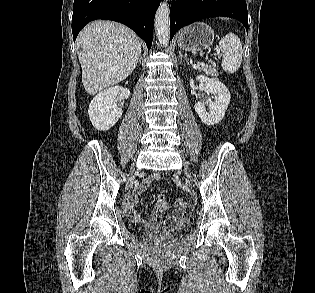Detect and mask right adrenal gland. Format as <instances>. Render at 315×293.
Wrapping results in <instances>:
<instances>
[{
  "label": "right adrenal gland",
  "mask_w": 315,
  "mask_h": 293,
  "mask_svg": "<svg viewBox=\"0 0 315 293\" xmlns=\"http://www.w3.org/2000/svg\"><path fill=\"white\" fill-rule=\"evenodd\" d=\"M139 62H141V57H140V59H139Z\"/></svg>",
  "instance_id": "obj_1"
}]
</instances>
